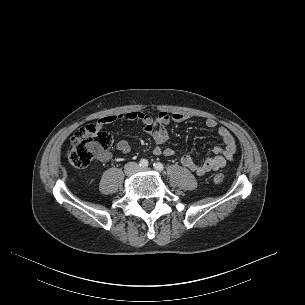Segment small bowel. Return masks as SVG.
Wrapping results in <instances>:
<instances>
[{
  "label": "small bowel",
  "mask_w": 305,
  "mask_h": 305,
  "mask_svg": "<svg viewBox=\"0 0 305 305\" xmlns=\"http://www.w3.org/2000/svg\"><path fill=\"white\" fill-rule=\"evenodd\" d=\"M188 119H190L188 114L179 112L169 113L162 111L157 116H151L140 111H129L118 115L104 116L96 122L95 127L101 129L118 120L140 122L143 125L145 133L157 144L153 149V154L175 158L177 157V154L174 149H163L159 145L168 141L169 132L167 127L171 123H182ZM205 125L207 128L214 129L217 127L218 123L215 119L208 118L205 121ZM217 133L222 139L223 146L212 148L201 162H196L189 154L179 156V162L184 167L200 176L223 168L228 161L233 160L237 151V145L234 136L228 128L220 126L217 128ZM116 149L123 154H128L131 151L129 143L125 140H119L116 143ZM111 157L112 154L110 152H105L99 156V159L106 162L110 160Z\"/></svg>",
  "instance_id": "small-bowel-1"
}]
</instances>
